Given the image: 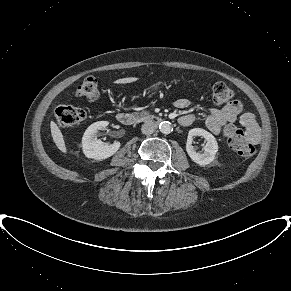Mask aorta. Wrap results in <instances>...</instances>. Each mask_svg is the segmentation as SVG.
<instances>
[{"label":"aorta","mask_w":291,"mask_h":291,"mask_svg":"<svg viewBox=\"0 0 291 291\" xmlns=\"http://www.w3.org/2000/svg\"><path fill=\"white\" fill-rule=\"evenodd\" d=\"M159 129L163 134H169L172 132V124L168 121H163L159 124Z\"/></svg>","instance_id":"obj_1"}]
</instances>
